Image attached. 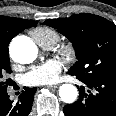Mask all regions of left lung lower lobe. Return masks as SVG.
Returning <instances> with one entry per match:
<instances>
[{
  "instance_id": "left-lung-lower-lobe-1",
  "label": "left lung lower lobe",
  "mask_w": 116,
  "mask_h": 116,
  "mask_svg": "<svg viewBox=\"0 0 116 116\" xmlns=\"http://www.w3.org/2000/svg\"><path fill=\"white\" fill-rule=\"evenodd\" d=\"M79 80L94 92L77 86L79 99L64 106L66 116H116V76Z\"/></svg>"
}]
</instances>
